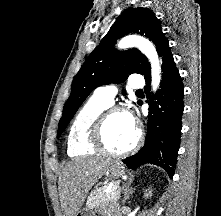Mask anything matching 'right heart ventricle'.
<instances>
[{"mask_svg":"<svg viewBox=\"0 0 221 216\" xmlns=\"http://www.w3.org/2000/svg\"><path fill=\"white\" fill-rule=\"evenodd\" d=\"M109 106L89 99L76 114L68 131L67 152L71 157L94 155L96 149L91 141L93 126Z\"/></svg>","mask_w":221,"mask_h":216,"instance_id":"obj_1","label":"right heart ventricle"}]
</instances>
